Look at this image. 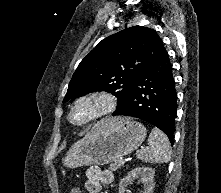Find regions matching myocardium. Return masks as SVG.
Wrapping results in <instances>:
<instances>
[{
    "label": "myocardium",
    "mask_w": 221,
    "mask_h": 193,
    "mask_svg": "<svg viewBox=\"0 0 221 193\" xmlns=\"http://www.w3.org/2000/svg\"><path fill=\"white\" fill-rule=\"evenodd\" d=\"M117 105L115 95L106 90H94L79 95L71 103L68 122L75 127L88 126L111 114Z\"/></svg>",
    "instance_id": "1"
}]
</instances>
